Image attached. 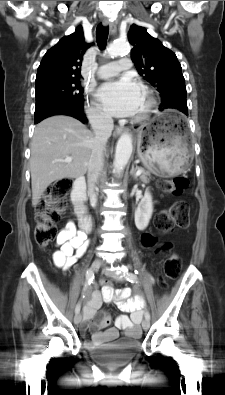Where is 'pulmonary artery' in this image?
I'll return each instance as SVG.
<instances>
[{
	"label": "pulmonary artery",
	"instance_id": "1",
	"mask_svg": "<svg viewBox=\"0 0 225 395\" xmlns=\"http://www.w3.org/2000/svg\"><path fill=\"white\" fill-rule=\"evenodd\" d=\"M131 66V60L128 57H123L119 61L102 65L98 69L97 74L100 78H109L117 75L121 71L130 69Z\"/></svg>",
	"mask_w": 225,
	"mask_h": 395
}]
</instances>
